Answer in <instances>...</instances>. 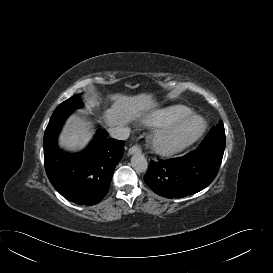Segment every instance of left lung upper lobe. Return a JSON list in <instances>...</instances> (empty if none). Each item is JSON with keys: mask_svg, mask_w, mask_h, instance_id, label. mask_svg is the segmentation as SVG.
<instances>
[{"mask_svg": "<svg viewBox=\"0 0 273 273\" xmlns=\"http://www.w3.org/2000/svg\"><path fill=\"white\" fill-rule=\"evenodd\" d=\"M199 147L223 157L225 149V131L222 121H219L216 126L211 128Z\"/></svg>", "mask_w": 273, "mask_h": 273, "instance_id": "5c2ea615", "label": "left lung upper lobe"}]
</instances>
